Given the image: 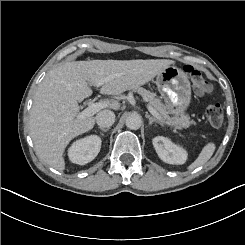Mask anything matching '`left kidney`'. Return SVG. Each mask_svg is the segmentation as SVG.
Returning a JSON list of instances; mask_svg holds the SVG:
<instances>
[{"instance_id":"obj_1","label":"left kidney","mask_w":245,"mask_h":245,"mask_svg":"<svg viewBox=\"0 0 245 245\" xmlns=\"http://www.w3.org/2000/svg\"><path fill=\"white\" fill-rule=\"evenodd\" d=\"M153 146L159 158L168 164H184L187 160V151L174 144L170 139L157 136L152 140Z\"/></svg>"}]
</instances>
